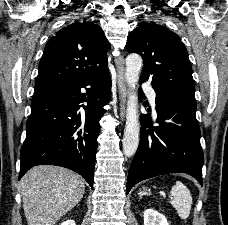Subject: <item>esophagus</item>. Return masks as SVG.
Segmentation results:
<instances>
[{
  "label": "esophagus",
  "instance_id": "34e87169",
  "mask_svg": "<svg viewBox=\"0 0 228 225\" xmlns=\"http://www.w3.org/2000/svg\"><path fill=\"white\" fill-rule=\"evenodd\" d=\"M115 65H116V71H117V80H118V89H119V98H120V117L121 119H124L126 100H127V89H126V80H125L124 58L122 54L115 57Z\"/></svg>",
  "mask_w": 228,
  "mask_h": 225
}]
</instances>
